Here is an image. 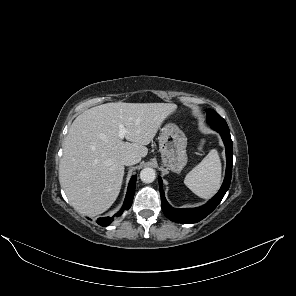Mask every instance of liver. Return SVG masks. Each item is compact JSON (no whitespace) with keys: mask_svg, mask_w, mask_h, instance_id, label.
<instances>
[{"mask_svg":"<svg viewBox=\"0 0 296 296\" xmlns=\"http://www.w3.org/2000/svg\"><path fill=\"white\" fill-rule=\"evenodd\" d=\"M177 109L173 103H106L81 113L64 141L59 181L70 204L93 217L111 207L119 195L123 159L145 157L163 121ZM119 124L127 130L124 142Z\"/></svg>","mask_w":296,"mask_h":296,"instance_id":"6515ba94","label":"liver"}]
</instances>
